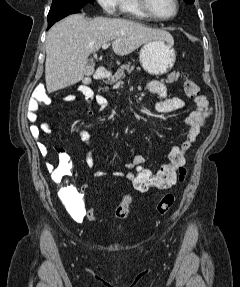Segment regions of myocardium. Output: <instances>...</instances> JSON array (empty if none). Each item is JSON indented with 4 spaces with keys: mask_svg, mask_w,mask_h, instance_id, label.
Here are the masks:
<instances>
[{
    "mask_svg": "<svg viewBox=\"0 0 240 287\" xmlns=\"http://www.w3.org/2000/svg\"><path fill=\"white\" fill-rule=\"evenodd\" d=\"M138 3L140 6V9L143 11V13L145 15H147L149 18H151L153 20L161 21V22L170 21V20L174 19L179 14V11H180L179 0H174L175 11L171 16H166V17L157 15L153 11L149 0H138Z\"/></svg>",
    "mask_w": 240,
    "mask_h": 287,
    "instance_id": "obj_1",
    "label": "myocardium"
}]
</instances>
